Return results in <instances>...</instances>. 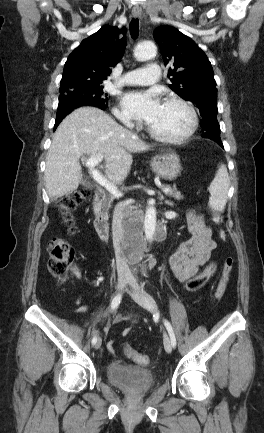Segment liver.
I'll return each mask as SVG.
<instances>
[{"label": "liver", "instance_id": "1", "mask_svg": "<svg viewBox=\"0 0 264 433\" xmlns=\"http://www.w3.org/2000/svg\"><path fill=\"white\" fill-rule=\"evenodd\" d=\"M150 146L95 107L69 114L58 126L48 151L45 185L51 199L76 190L82 179V155H103L105 175L113 185L121 184L133 162L132 153Z\"/></svg>", "mask_w": 264, "mask_h": 433}]
</instances>
